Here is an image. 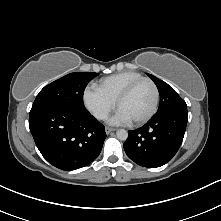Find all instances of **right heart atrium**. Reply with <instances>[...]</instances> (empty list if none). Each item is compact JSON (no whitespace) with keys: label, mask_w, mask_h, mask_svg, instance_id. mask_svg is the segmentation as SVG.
<instances>
[{"label":"right heart atrium","mask_w":221,"mask_h":221,"mask_svg":"<svg viewBox=\"0 0 221 221\" xmlns=\"http://www.w3.org/2000/svg\"><path fill=\"white\" fill-rule=\"evenodd\" d=\"M86 108L98 120H105L114 109L115 102L105 96L97 87H87L83 93Z\"/></svg>","instance_id":"d8ad5b80"}]
</instances>
